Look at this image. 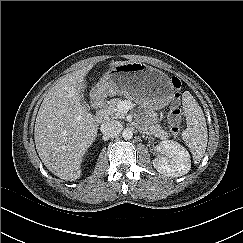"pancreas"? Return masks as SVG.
Instances as JSON below:
<instances>
[{
    "instance_id": "obj_1",
    "label": "pancreas",
    "mask_w": 243,
    "mask_h": 243,
    "mask_svg": "<svg viewBox=\"0 0 243 243\" xmlns=\"http://www.w3.org/2000/svg\"><path fill=\"white\" fill-rule=\"evenodd\" d=\"M123 102L125 101L120 98H114L108 101L104 109L106 116H109L112 119L124 118L126 116V111L120 108V105ZM150 133L161 139H166L169 137V134L165 132L159 125L151 126Z\"/></svg>"
}]
</instances>
